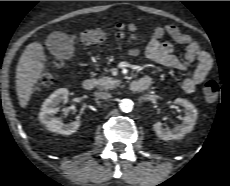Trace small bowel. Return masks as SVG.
Returning a JSON list of instances; mask_svg holds the SVG:
<instances>
[{
    "instance_id": "c3829d8e",
    "label": "small bowel",
    "mask_w": 230,
    "mask_h": 186,
    "mask_svg": "<svg viewBox=\"0 0 230 186\" xmlns=\"http://www.w3.org/2000/svg\"><path fill=\"white\" fill-rule=\"evenodd\" d=\"M166 36L185 46L184 59H180L173 54L172 45L169 42L163 41V38ZM142 52L150 60L164 67L179 71H187L196 62L192 74L182 82V89L186 93L194 92L196 87L206 79L212 67L211 57L200 48L196 40L172 24L152 29L150 38L144 48L135 46L129 49V53L135 56Z\"/></svg>"
}]
</instances>
